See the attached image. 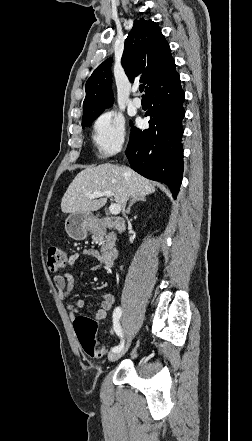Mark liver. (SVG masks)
Segmentation results:
<instances>
[{
    "label": "liver",
    "instance_id": "liver-1",
    "mask_svg": "<svg viewBox=\"0 0 252 441\" xmlns=\"http://www.w3.org/2000/svg\"><path fill=\"white\" fill-rule=\"evenodd\" d=\"M112 191L114 200L124 208L129 198H144L155 192V185L131 168L105 163L79 172L66 190L62 201L63 213H91L103 207L107 199H90L89 194Z\"/></svg>",
    "mask_w": 252,
    "mask_h": 441
}]
</instances>
